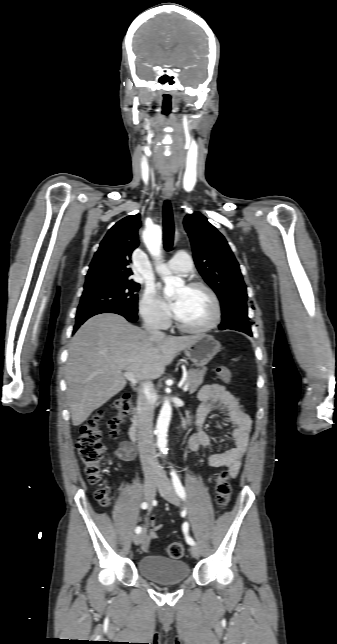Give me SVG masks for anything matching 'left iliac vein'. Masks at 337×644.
<instances>
[{
  "mask_svg": "<svg viewBox=\"0 0 337 644\" xmlns=\"http://www.w3.org/2000/svg\"><path fill=\"white\" fill-rule=\"evenodd\" d=\"M158 488L159 492L161 495L169 501L171 504L174 505H179L180 504V499L170 482V480L167 478L166 475H162L160 480L158 481ZM191 555L195 558H198L200 556V549L197 545H192L190 548Z\"/></svg>",
  "mask_w": 337,
  "mask_h": 644,
  "instance_id": "left-iliac-vein-1",
  "label": "left iliac vein"
}]
</instances>
